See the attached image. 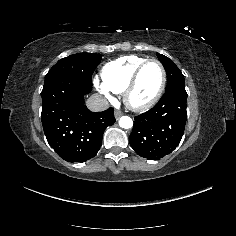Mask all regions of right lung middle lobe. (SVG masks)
Returning <instances> with one entry per match:
<instances>
[{
    "instance_id": "1",
    "label": "right lung middle lobe",
    "mask_w": 236,
    "mask_h": 236,
    "mask_svg": "<svg viewBox=\"0 0 236 236\" xmlns=\"http://www.w3.org/2000/svg\"><path fill=\"white\" fill-rule=\"evenodd\" d=\"M101 61L100 54L80 53L59 60L46 74L44 84L62 77H72L92 85V74Z\"/></svg>"
}]
</instances>
